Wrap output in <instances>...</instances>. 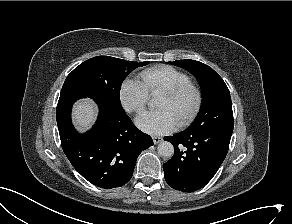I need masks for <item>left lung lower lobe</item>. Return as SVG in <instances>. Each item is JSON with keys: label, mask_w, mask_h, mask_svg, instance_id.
Masks as SVG:
<instances>
[{"label": "left lung lower lobe", "mask_w": 292, "mask_h": 224, "mask_svg": "<svg viewBox=\"0 0 292 224\" xmlns=\"http://www.w3.org/2000/svg\"><path fill=\"white\" fill-rule=\"evenodd\" d=\"M233 126V122H226L165 137L175 148L173 157L163 164L168 185L182 192L206 185L227 155Z\"/></svg>", "instance_id": "left-lung-lower-lobe-1"}]
</instances>
